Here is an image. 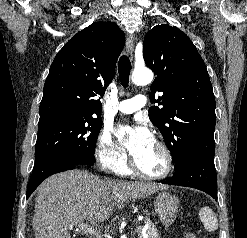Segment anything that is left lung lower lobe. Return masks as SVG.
I'll return each instance as SVG.
<instances>
[{
    "instance_id": "obj_1",
    "label": "left lung lower lobe",
    "mask_w": 247,
    "mask_h": 238,
    "mask_svg": "<svg viewBox=\"0 0 247 238\" xmlns=\"http://www.w3.org/2000/svg\"><path fill=\"white\" fill-rule=\"evenodd\" d=\"M161 183L196 188L217 200V174L214 158L188 155L175 174Z\"/></svg>"
}]
</instances>
